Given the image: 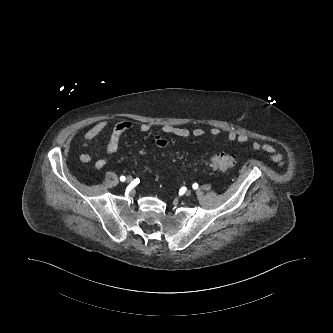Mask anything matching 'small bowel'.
<instances>
[{"label":"small bowel","mask_w":333,"mask_h":333,"mask_svg":"<svg viewBox=\"0 0 333 333\" xmlns=\"http://www.w3.org/2000/svg\"><path fill=\"white\" fill-rule=\"evenodd\" d=\"M110 122L108 120H101L95 123L84 135L82 146L84 148L88 147L89 143L98 135H100L104 130L108 128ZM134 127L133 122L129 120H124L116 123L111 131L110 138L106 147V156L98 159L95 163V167L97 170H102L107 165L109 158L114 155L120 144V139L123 133L131 130ZM151 126L147 123H143L139 126V130L143 133H146L150 130ZM162 132L165 135L173 136L177 138H188L190 136L202 137L206 134L205 130L199 127L188 129L186 127H179L173 125H165L162 127ZM221 133V130L217 127H212L209 130V134L212 137H217ZM164 138L157 137L156 140H162ZM227 140L229 142H238V143H246L249 141V137L246 134L236 133L231 131L227 134ZM252 147L254 150H262L265 153H268L273 161L275 162H283L284 157L282 153H280L276 147L271 144H262L258 141H253ZM82 163H89L91 161V155L88 153H82L79 157Z\"/></svg>","instance_id":"obj_1"}]
</instances>
